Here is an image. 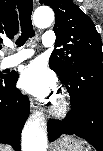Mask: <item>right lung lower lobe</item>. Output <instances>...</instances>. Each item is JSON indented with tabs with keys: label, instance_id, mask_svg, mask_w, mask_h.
Listing matches in <instances>:
<instances>
[{
	"label": "right lung lower lobe",
	"instance_id": "1",
	"mask_svg": "<svg viewBox=\"0 0 103 151\" xmlns=\"http://www.w3.org/2000/svg\"><path fill=\"white\" fill-rule=\"evenodd\" d=\"M18 76L0 78V143L10 144L15 151H20L21 131L30 109L28 97L15 88Z\"/></svg>",
	"mask_w": 103,
	"mask_h": 151
}]
</instances>
